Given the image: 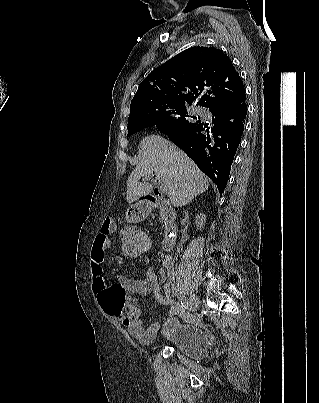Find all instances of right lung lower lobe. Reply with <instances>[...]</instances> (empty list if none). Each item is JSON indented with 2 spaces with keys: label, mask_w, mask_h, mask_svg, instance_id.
I'll use <instances>...</instances> for the list:
<instances>
[{
  "label": "right lung lower lobe",
  "mask_w": 319,
  "mask_h": 403,
  "mask_svg": "<svg viewBox=\"0 0 319 403\" xmlns=\"http://www.w3.org/2000/svg\"><path fill=\"white\" fill-rule=\"evenodd\" d=\"M245 100L241 98L210 108L214 124L210 131L207 123L198 120L184 130L167 133L169 139L214 181L220 194L226 187L241 141L247 114Z\"/></svg>",
  "instance_id": "98d812e1"
}]
</instances>
